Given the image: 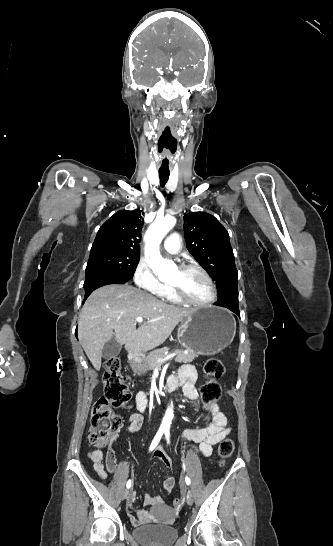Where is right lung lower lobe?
Masks as SVG:
<instances>
[{
  "instance_id": "right-lung-lower-lobe-1",
  "label": "right lung lower lobe",
  "mask_w": 333,
  "mask_h": 546,
  "mask_svg": "<svg viewBox=\"0 0 333 546\" xmlns=\"http://www.w3.org/2000/svg\"><path fill=\"white\" fill-rule=\"evenodd\" d=\"M130 279L118 274L105 271H91L86 273V280L83 285L85 288L84 301L97 288L108 284H124ZM83 301V302H84Z\"/></svg>"
}]
</instances>
